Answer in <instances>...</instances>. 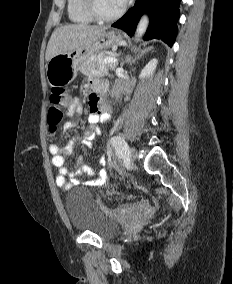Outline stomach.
I'll list each match as a JSON object with an SVG mask.
<instances>
[{
    "label": "stomach",
    "instance_id": "1",
    "mask_svg": "<svg viewBox=\"0 0 233 284\" xmlns=\"http://www.w3.org/2000/svg\"><path fill=\"white\" fill-rule=\"evenodd\" d=\"M123 41L118 31H104L91 45L82 46L51 58L46 65V76L51 87L67 86L77 76L80 65L103 49Z\"/></svg>",
    "mask_w": 233,
    "mask_h": 284
}]
</instances>
